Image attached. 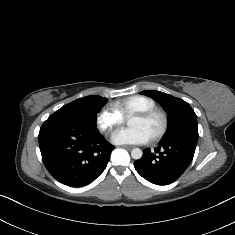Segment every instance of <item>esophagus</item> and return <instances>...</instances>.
I'll return each instance as SVG.
<instances>
[{"instance_id": "obj_1", "label": "esophagus", "mask_w": 235, "mask_h": 235, "mask_svg": "<svg viewBox=\"0 0 235 235\" xmlns=\"http://www.w3.org/2000/svg\"><path fill=\"white\" fill-rule=\"evenodd\" d=\"M120 147L124 148V149H127V150L133 149V146H130V145H121Z\"/></svg>"}]
</instances>
